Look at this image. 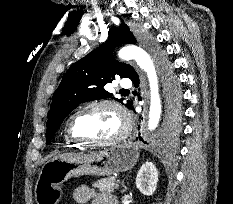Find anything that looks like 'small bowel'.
<instances>
[{
	"mask_svg": "<svg viewBox=\"0 0 233 204\" xmlns=\"http://www.w3.org/2000/svg\"><path fill=\"white\" fill-rule=\"evenodd\" d=\"M75 202L79 204H118L117 198L111 193L97 191L89 186H79L73 192Z\"/></svg>",
	"mask_w": 233,
	"mask_h": 204,
	"instance_id": "1",
	"label": "small bowel"
}]
</instances>
